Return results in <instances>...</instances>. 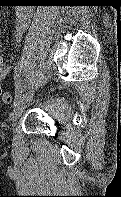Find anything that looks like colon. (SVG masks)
Returning <instances> with one entry per match:
<instances>
[{"instance_id":"1","label":"colon","mask_w":121,"mask_h":197,"mask_svg":"<svg viewBox=\"0 0 121 197\" xmlns=\"http://www.w3.org/2000/svg\"><path fill=\"white\" fill-rule=\"evenodd\" d=\"M0 98L5 104H10L12 102V96L8 92L2 91L0 88Z\"/></svg>"}]
</instances>
